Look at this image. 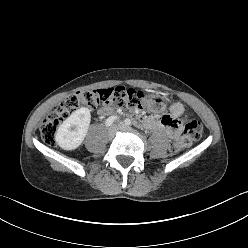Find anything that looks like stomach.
I'll return each mask as SVG.
<instances>
[{
  "label": "stomach",
  "instance_id": "0dacf381",
  "mask_svg": "<svg viewBox=\"0 0 248 248\" xmlns=\"http://www.w3.org/2000/svg\"><path fill=\"white\" fill-rule=\"evenodd\" d=\"M143 104L147 111L156 115L164 113L168 106L166 98L156 92L147 94Z\"/></svg>",
  "mask_w": 248,
  "mask_h": 248
}]
</instances>
